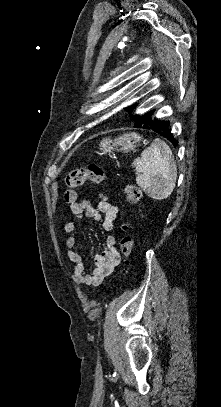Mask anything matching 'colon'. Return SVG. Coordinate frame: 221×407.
Here are the masks:
<instances>
[{
  "mask_svg": "<svg viewBox=\"0 0 221 407\" xmlns=\"http://www.w3.org/2000/svg\"><path fill=\"white\" fill-rule=\"evenodd\" d=\"M107 179L103 167L97 163H90L86 167L72 170L66 177L65 200L68 203H76L79 199L78 189L86 182L102 183ZM125 197L128 203L134 204L141 199V190L137 185L128 184L125 189ZM124 235L120 239V257L115 258L117 264H121L125 271L129 265V259L133 248V238L129 233L130 225L127 222L122 223Z\"/></svg>",
  "mask_w": 221,
  "mask_h": 407,
  "instance_id": "obj_1",
  "label": "colon"
}]
</instances>
